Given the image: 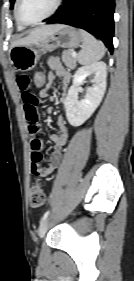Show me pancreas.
Returning a JSON list of instances; mask_svg holds the SVG:
<instances>
[{"label":"pancreas","mask_w":134,"mask_h":281,"mask_svg":"<svg viewBox=\"0 0 134 281\" xmlns=\"http://www.w3.org/2000/svg\"><path fill=\"white\" fill-rule=\"evenodd\" d=\"M71 54H72V50L64 51L62 54V61L68 68L74 69L76 67L77 59L76 57H72Z\"/></svg>","instance_id":"cf45deb5"}]
</instances>
